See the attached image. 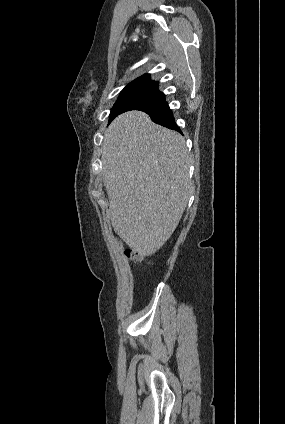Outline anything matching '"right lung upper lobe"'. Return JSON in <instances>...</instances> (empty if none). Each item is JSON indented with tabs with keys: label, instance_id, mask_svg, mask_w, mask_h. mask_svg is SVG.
I'll list each match as a JSON object with an SVG mask.
<instances>
[{
	"label": "right lung upper lobe",
	"instance_id": "right-lung-upper-lobe-1",
	"mask_svg": "<svg viewBox=\"0 0 285 424\" xmlns=\"http://www.w3.org/2000/svg\"><path fill=\"white\" fill-rule=\"evenodd\" d=\"M136 84H157L156 81H152L150 79V75L149 74H145L142 75L141 77L135 79L134 81H132L131 83H129L127 86L129 85H136Z\"/></svg>",
	"mask_w": 285,
	"mask_h": 424
}]
</instances>
